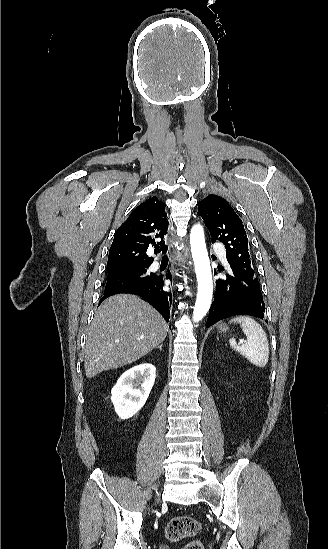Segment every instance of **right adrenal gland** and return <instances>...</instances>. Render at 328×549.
Listing matches in <instances>:
<instances>
[{
	"label": "right adrenal gland",
	"instance_id": "2a0ac1e0",
	"mask_svg": "<svg viewBox=\"0 0 328 549\" xmlns=\"http://www.w3.org/2000/svg\"><path fill=\"white\" fill-rule=\"evenodd\" d=\"M162 347H163V345H159V347H157V349H160V351H162Z\"/></svg>",
	"mask_w": 328,
	"mask_h": 549
}]
</instances>
